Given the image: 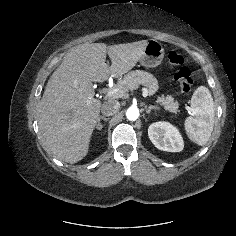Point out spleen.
Returning <instances> with one entry per match:
<instances>
[{
	"label": "spleen",
	"instance_id": "1",
	"mask_svg": "<svg viewBox=\"0 0 236 236\" xmlns=\"http://www.w3.org/2000/svg\"><path fill=\"white\" fill-rule=\"evenodd\" d=\"M191 116L184 123L189 138L204 145L210 138L214 126L215 107L207 87H198L191 98Z\"/></svg>",
	"mask_w": 236,
	"mask_h": 236
}]
</instances>
